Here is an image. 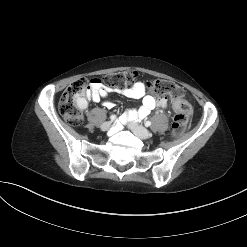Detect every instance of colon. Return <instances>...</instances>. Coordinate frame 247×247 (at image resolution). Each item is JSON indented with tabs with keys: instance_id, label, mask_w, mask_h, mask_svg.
I'll return each mask as SVG.
<instances>
[{
	"instance_id": "5ec220e1",
	"label": "colon",
	"mask_w": 247,
	"mask_h": 247,
	"mask_svg": "<svg viewBox=\"0 0 247 247\" xmlns=\"http://www.w3.org/2000/svg\"><path fill=\"white\" fill-rule=\"evenodd\" d=\"M135 78L136 73L132 70H127L108 74L102 79L96 80L108 88L123 89L131 84ZM89 86L90 83L87 79H79L71 83L60 98V114L70 125L77 126L83 121V109L87 105ZM148 88L155 95H168L175 100L171 129L174 136L182 135L187 127L191 113L190 106L183 100L184 89L167 79L150 81Z\"/></svg>"
}]
</instances>
